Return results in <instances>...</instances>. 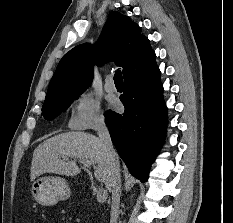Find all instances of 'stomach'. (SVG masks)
Here are the masks:
<instances>
[{"label": "stomach", "instance_id": "stomach-1", "mask_svg": "<svg viewBox=\"0 0 233 223\" xmlns=\"http://www.w3.org/2000/svg\"><path fill=\"white\" fill-rule=\"evenodd\" d=\"M31 193L40 205H56L58 201H65L72 195V189L64 177L58 175H44L31 183Z\"/></svg>", "mask_w": 233, "mask_h": 223}]
</instances>
